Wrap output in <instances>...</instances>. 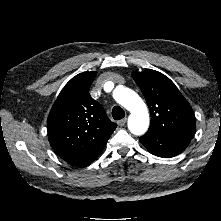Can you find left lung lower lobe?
I'll use <instances>...</instances> for the list:
<instances>
[{
  "label": "left lung lower lobe",
  "instance_id": "0a47b994",
  "mask_svg": "<svg viewBox=\"0 0 221 221\" xmlns=\"http://www.w3.org/2000/svg\"><path fill=\"white\" fill-rule=\"evenodd\" d=\"M188 137H166L151 132H147L140 137V142L152 154L169 158L181 153L190 143Z\"/></svg>",
  "mask_w": 221,
  "mask_h": 221
}]
</instances>
